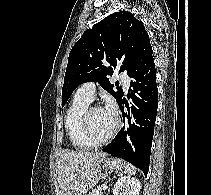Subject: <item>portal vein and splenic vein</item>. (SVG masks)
I'll use <instances>...</instances> for the list:
<instances>
[{
	"mask_svg": "<svg viewBox=\"0 0 211 195\" xmlns=\"http://www.w3.org/2000/svg\"><path fill=\"white\" fill-rule=\"evenodd\" d=\"M108 188V185L107 184H104L103 186H102V190H106Z\"/></svg>",
	"mask_w": 211,
	"mask_h": 195,
	"instance_id": "18ae733b",
	"label": "portal vein and splenic vein"
}]
</instances>
